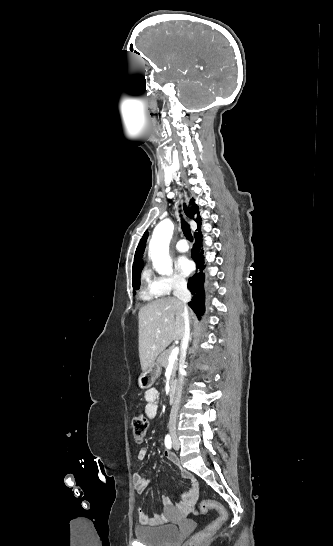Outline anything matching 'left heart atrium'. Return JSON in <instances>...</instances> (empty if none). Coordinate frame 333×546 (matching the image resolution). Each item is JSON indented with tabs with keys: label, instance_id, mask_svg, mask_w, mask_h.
Wrapping results in <instances>:
<instances>
[{
	"label": "left heart atrium",
	"instance_id": "1",
	"mask_svg": "<svg viewBox=\"0 0 333 546\" xmlns=\"http://www.w3.org/2000/svg\"><path fill=\"white\" fill-rule=\"evenodd\" d=\"M177 268L183 275H188L192 270V263L187 257L182 256L177 261Z\"/></svg>",
	"mask_w": 333,
	"mask_h": 546
}]
</instances>
